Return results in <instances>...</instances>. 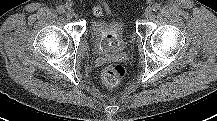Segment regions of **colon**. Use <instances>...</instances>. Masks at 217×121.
Returning <instances> with one entry per match:
<instances>
[{"mask_svg": "<svg viewBox=\"0 0 217 121\" xmlns=\"http://www.w3.org/2000/svg\"><path fill=\"white\" fill-rule=\"evenodd\" d=\"M95 14L100 16L102 14L101 9L97 8ZM125 76L126 69L120 64L109 65L102 71V80L107 86L118 85Z\"/></svg>", "mask_w": 217, "mask_h": 121, "instance_id": "1", "label": "colon"}]
</instances>
